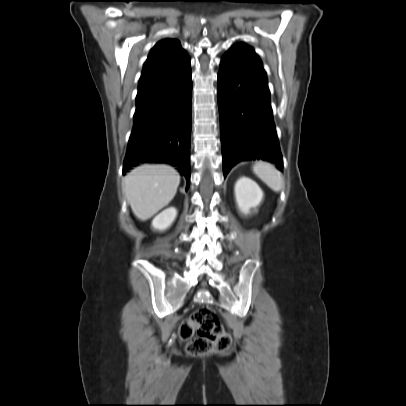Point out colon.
I'll use <instances>...</instances> for the list:
<instances>
[{
    "instance_id": "1",
    "label": "colon",
    "mask_w": 406,
    "mask_h": 406,
    "mask_svg": "<svg viewBox=\"0 0 406 406\" xmlns=\"http://www.w3.org/2000/svg\"><path fill=\"white\" fill-rule=\"evenodd\" d=\"M194 333H197L196 337H193ZM178 336L187 341V352L190 355L225 352L232 344L230 335L217 315L205 308L193 312L180 324Z\"/></svg>"
}]
</instances>
